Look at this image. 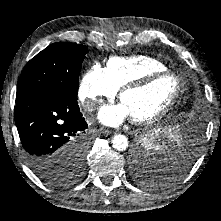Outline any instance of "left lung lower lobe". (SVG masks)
<instances>
[{"instance_id": "left-lung-lower-lobe-1", "label": "left lung lower lobe", "mask_w": 221, "mask_h": 221, "mask_svg": "<svg viewBox=\"0 0 221 221\" xmlns=\"http://www.w3.org/2000/svg\"><path fill=\"white\" fill-rule=\"evenodd\" d=\"M204 127L202 117H197L190 122H181L180 120L173 122L168 127V131L160 143V150L156 151L153 155L156 160L180 161V166L176 170H171L169 173H159L160 176L156 177V185H162L182 176L187 169L191 166L198 148L199 139L201 137ZM139 149H136L132 154L133 167L137 162ZM166 164V163H162ZM160 164L159 168H164ZM134 174V173H133Z\"/></svg>"}]
</instances>
